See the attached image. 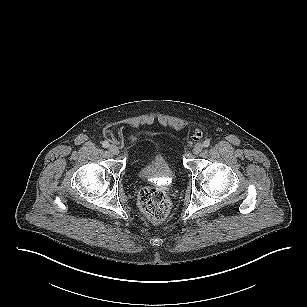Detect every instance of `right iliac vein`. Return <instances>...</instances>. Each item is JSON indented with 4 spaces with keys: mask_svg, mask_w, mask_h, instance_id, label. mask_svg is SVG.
Instances as JSON below:
<instances>
[{
    "mask_svg": "<svg viewBox=\"0 0 307 307\" xmlns=\"http://www.w3.org/2000/svg\"><path fill=\"white\" fill-rule=\"evenodd\" d=\"M108 150L113 155H118L119 154V149H118V147L116 145H110Z\"/></svg>",
    "mask_w": 307,
    "mask_h": 307,
    "instance_id": "63e3f726",
    "label": "right iliac vein"
}]
</instances>
